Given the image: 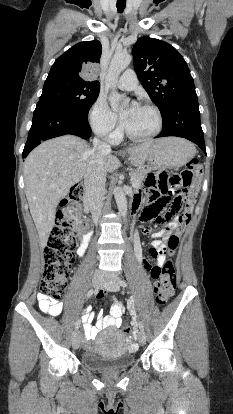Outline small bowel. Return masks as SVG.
Listing matches in <instances>:
<instances>
[{"instance_id": "1", "label": "small bowel", "mask_w": 233, "mask_h": 414, "mask_svg": "<svg viewBox=\"0 0 233 414\" xmlns=\"http://www.w3.org/2000/svg\"><path fill=\"white\" fill-rule=\"evenodd\" d=\"M147 198L149 201H151L150 199V194L145 192ZM138 202V198H136V203ZM148 208L145 209L143 215H142V219L144 221H148V220H152V219H156L155 217H153L152 215L149 214V212L147 211ZM169 216H160L159 220L161 221H168ZM179 223L178 221V216L175 217L165 228L164 231L156 233L155 235L157 237L162 236L164 233L170 231L172 228L176 227L177 224ZM143 233L148 234L150 233V228L146 225L143 226L142 228ZM91 235L89 233H85L82 235L81 238V242L80 245L78 247V255L79 256H83L86 252L87 246H88V242L90 240ZM161 248V244L156 242L153 247H151L150 249H148L145 252L146 256H151V257H155L157 258V266L156 267H161L163 265V263L165 262V255L163 253H160L157 256H154V252ZM138 257V261L140 266L144 267L147 271L150 272L151 269V265L149 264L147 258L142 257L141 252L139 251L137 254ZM151 275V274H150ZM152 277V276H151ZM153 278V277H152ZM98 297L102 298L103 297V292L98 293ZM38 305L39 308L42 312L49 314L51 316H58L62 313L63 310V304L61 301L57 300V299H53L51 297H49L48 295L44 294V293H39L38 294ZM128 310L131 314L134 313V300L133 299H129L128 303ZM125 312V306L124 303L119 300V299H114L112 308H111V312L110 315L105 316L103 314L102 311H100L97 315V323L95 326H93L91 323L94 319V313L92 312V307L89 305L86 307L84 314L81 317L82 323H83V330H84V334H85V339L86 340H92L95 338V336L97 335V333L103 329V328H107V327H116L119 328L122 326L123 324V314Z\"/></svg>"}]
</instances>
